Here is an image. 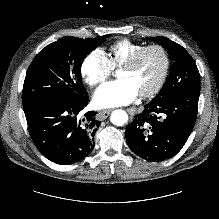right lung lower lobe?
Returning <instances> with one entry per match:
<instances>
[{
    "label": "right lung lower lobe",
    "mask_w": 219,
    "mask_h": 219,
    "mask_svg": "<svg viewBox=\"0 0 219 219\" xmlns=\"http://www.w3.org/2000/svg\"><path fill=\"white\" fill-rule=\"evenodd\" d=\"M87 103L88 96L81 100L54 98L24 109L31 138L46 158L73 164L93 150L91 136L99 122L94 111L81 116Z\"/></svg>",
    "instance_id": "1"
}]
</instances>
